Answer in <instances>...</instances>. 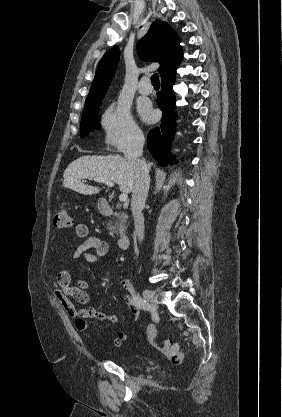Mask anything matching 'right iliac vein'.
Returning <instances> with one entry per match:
<instances>
[{
	"mask_svg": "<svg viewBox=\"0 0 282 417\" xmlns=\"http://www.w3.org/2000/svg\"><path fill=\"white\" fill-rule=\"evenodd\" d=\"M143 296L144 298L149 301L150 303H152L154 306H157V297L155 296V293L152 290H144L143 291Z\"/></svg>",
	"mask_w": 282,
	"mask_h": 417,
	"instance_id": "obj_1",
	"label": "right iliac vein"
}]
</instances>
